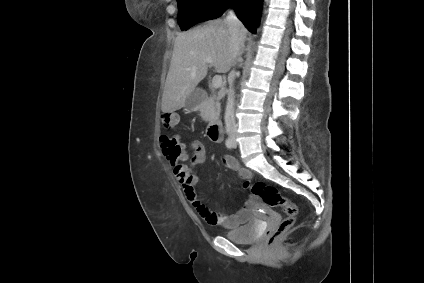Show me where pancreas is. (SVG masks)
Segmentation results:
<instances>
[{"label":"pancreas","mask_w":424,"mask_h":283,"mask_svg":"<svg viewBox=\"0 0 424 283\" xmlns=\"http://www.w3.org/2000/svg\"><path fill=\"white\" fill-rule=\"evenodd\" d=\"M220 114V103L219 98L215 95L207 99L200 106V116L205 121H210L211 119L219 116Z\"/></svg>","instance_id":"1"}]
</instances>
